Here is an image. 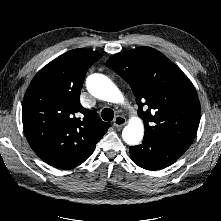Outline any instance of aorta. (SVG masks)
<instances>
[{
    "mask_svg": "<svg viewBox=\"0 0 221 221\" xmlns=\"http://www.w3.org/2000/svg\"><path fill=\"white\" fill-rule=\"evenodd\" d=\"M86 87L94 97L112 103L123 102L124 97L117 86L105 75L94 73L87 77ZM144 135L139 117H132L122 131L123 140L129 145L138 144Z\"/></svg>",
    "mask_w": 221,
    "mask_h": 221,
    "instance_id": "obj_1",
    "label": "aorta"
}]
</instances>
